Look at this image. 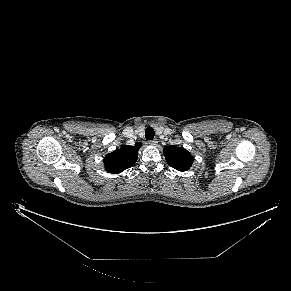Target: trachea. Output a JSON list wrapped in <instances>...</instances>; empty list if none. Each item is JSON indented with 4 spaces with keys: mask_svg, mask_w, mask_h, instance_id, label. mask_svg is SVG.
<instances>
[{
    "mask_svg": "<svg viewBox=\"0 0 291 291\" xmlns=\"http://www.w3.org/2000/svg\"><path fill=\"white\" fill-rule=\"evenodd\" d=\"M154 136H155L154 129L152 127H147L145 130V138L147 140H153Z\"/></svg>",
    "mask_w": 291,
    "mask_h": 291,
    "instance_id": "obj_1",
    "label": "trachea"
}]
</instances>
